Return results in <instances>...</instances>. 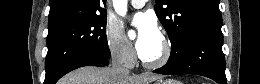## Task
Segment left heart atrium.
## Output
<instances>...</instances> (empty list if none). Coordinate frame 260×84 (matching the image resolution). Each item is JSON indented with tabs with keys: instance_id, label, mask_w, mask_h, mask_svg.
Wrapping results in <instances>:
<instances>
[{
	"instance_id": "left-heart-atrium-1",
	"label": "left heart atrium",
	"mask_w": 260,
	"mask_h": 84,
	"mask_svg": "<svg viewBox=\"0 0 260 84\" xmlns=\"http://www.w3.org/2000/svg\"><path fill=\"white\" fill-rule=\"evenodd\" d=\"M133 27L137 31L136 50L141 57H145L156 48L161 40L159 28L155 20L145 13L135 16Z\"/></svg>"
}]
</instances>
